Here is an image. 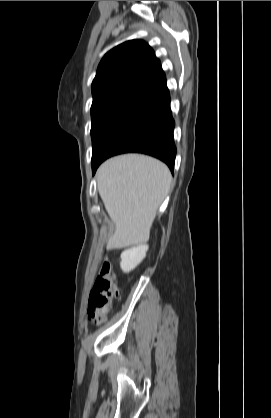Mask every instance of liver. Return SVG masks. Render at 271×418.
<instances>
[{
  "mask_svg": "<svg viewBox=\"0 0 271 418\" xmlns=\"http://www.w3.org/2000/svg\"><path fill=\"white\" fill-rule=\"evenodd\" d=\"M172 176L157 159L125 154L105 161L97 171V188L115 224L108 249L147 242L157 209L169 193Z\"/></svg>",
  "mask_w": 271,
  "mask_h": 418,
  "instance_id": "obj_1",
  "label": "liver"
}]
</instances>
